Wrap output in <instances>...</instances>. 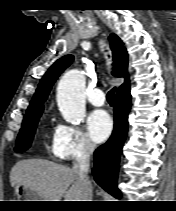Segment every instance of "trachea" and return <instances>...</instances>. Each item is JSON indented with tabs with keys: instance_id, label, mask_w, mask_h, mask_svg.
Listing matches in <instances>:
<instances>
[{
	"instance_id": "obj_1",
	"label": "trachea",
	"mask_w": 176,
	"mask_h": 211,
	"mask_svg": "<svg viewBox=\"0 0 176 211\" xmlns=\"http://www.w3.org/2000/svg\"><path fill=\"white\" fill-rule=\"evenodd\" d=\"M114 92H115V88L111 89L107 94V100L109 103L113 102Z\"/></svg>"
}]
</instances>
